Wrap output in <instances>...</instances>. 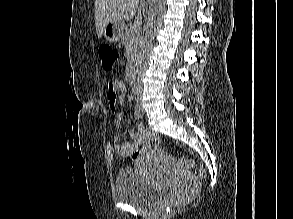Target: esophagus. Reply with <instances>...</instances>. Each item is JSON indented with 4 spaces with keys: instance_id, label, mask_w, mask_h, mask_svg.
<instances>
[{
    "instance_id": "esophagus-1",
    "label": "esophagus",
    "mask_w": 293,
    "mask_h": 219,
    "mask_svg": "<svg viewBox=\"0 0 293 219\" xmlns=\"http://www.w3.org/2000/svg\"><path fill=\"white\" fill-rule=\"evenodd\" d=\"M144 3L149 4L151 0H142Z\"/></svg>"
}]
</instances>
